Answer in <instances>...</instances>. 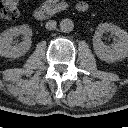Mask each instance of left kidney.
<instances>
[{"label": "left kidney", "mask_w": 128, "mask_h": 128, "mask_svg": "<svg viewBox=\"0 0 128 128\" xmlns=\"http://www.w3.org/2000/svg\"><path fill=\"white\" fill-rule=\"evenodd\" d=\"M110 32L116 37V42L107 46L102 41V35ZM93 47L98 58L106 62H114L128 57V33L120 27L110 24H100L93 36Z\"/></svg>", "instance_id": "5707ae66"}]
</instances>
